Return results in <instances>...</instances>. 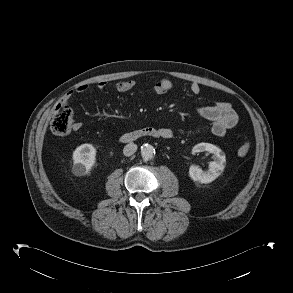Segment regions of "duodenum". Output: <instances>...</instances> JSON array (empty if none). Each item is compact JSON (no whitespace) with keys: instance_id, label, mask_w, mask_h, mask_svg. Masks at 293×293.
<instances>
[{"instance_id":"obj_1","label":"duodenum","mask_w":293,"mask_h":293,"mask_svg":"<svg viewBox=\"0 0 293 293\" xmlns=\"http://www.w3.org/2000/svg\"><path fill=\"white\" fill-rule=\"evenodd\" d=\"M145 136L168 138L167 136H165L161 131H159L156 128L145 127V128H141V129L134 130V131L127 132V133L123 134L120 138V141L123 143H130V142H133V141H135L141 137H145Z\"/></svg>"}]
</instances>
